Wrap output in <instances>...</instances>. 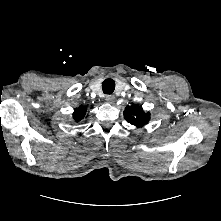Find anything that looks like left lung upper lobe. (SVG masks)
<instances>
[{
	"label": "left lung upper lobe",
	"mask_w": 221,
	"mask_h": 221,
	"mask_svg": "<svg viewBox=\"0 0 221 221\" xmlns=\"http://www.w3.org/2000/svg\"><path fill=\"white\" fill-rule=\"evenodd\" d=\"M124 118L130 124L140 127L150 120V113H145L138 105L127 106L124 111Z\"/></svg>",
	"instance_id": "obj_1"
}]
</instances>
